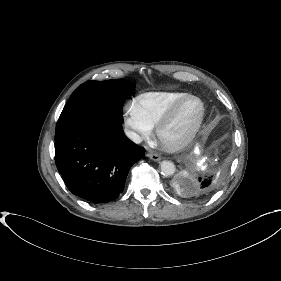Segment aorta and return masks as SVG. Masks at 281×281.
Instances as JSON below:
<instances>
[{"label":"aorta","mask_w":281,"mask_h":281,"mask_svg":"<svg viewBox=\"0 0 281 281\" xmlns=\"http://www.w3.org/2000/svg\"><path fill=\"white\" fill-rule=\"evenodd\" d=\"M160 170L164 176H172L175 173V165L171 161H162L160 163Z\"/></svg>","instance_id":"obj_1"}]
</instances>
